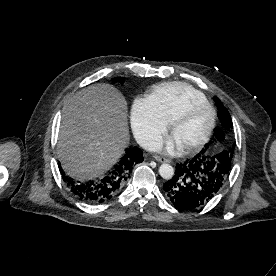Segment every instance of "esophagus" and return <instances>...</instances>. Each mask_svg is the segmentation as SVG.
Returning <instances> with one entry per match:
<instances>
[{"label": "esophagus", "instance_id": "34e87169", "mask_svg": "<svg viewBox=\"0 0 276 276\" xmlns=\"http://www.w3.org/2000/svg\"><path fill=\"white\" fill-rule=\"evenodd\" d=\"M154 158H155V160H157L161 163H170L171 162L170 159L165 158V157H161V156H157V155H155Z\"/></svg>", "mask_w": 276, "mask_h": 276}]
</instances>
